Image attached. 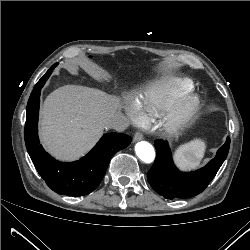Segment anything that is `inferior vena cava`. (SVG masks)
Masks as SVG:
<instances>
[{"mask_svg": "<svg viewBox=\"0 0 250 250\" xmlns=\"http://www.w3.org/2000/svg\"><path fill=\"white\" fill-rule=\"evenodd\" d=\"M129 126V120L122 114H115L105 122V128H111L116 131H124Z\"/></svg>", "mask_w": 250, "mask_h": 250, "instance_id": "inferior-vena-cava-1", "label": "inferior vena cava"}]
</instances>
